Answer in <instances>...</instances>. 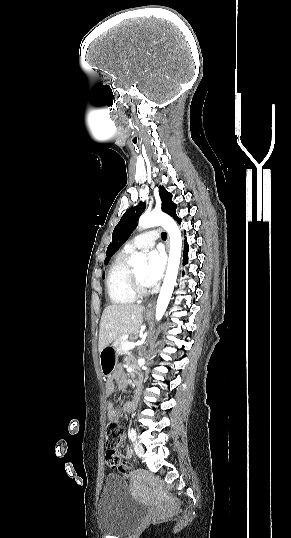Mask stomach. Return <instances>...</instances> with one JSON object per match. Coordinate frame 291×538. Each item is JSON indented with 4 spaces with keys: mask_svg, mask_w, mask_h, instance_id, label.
<instances>
[{
    "mask_svg": "<svg viewBox=\"0 0 291 538\" xmlns=\"http://www.w3.org/2000/svg\"><path fill=\"white\" fill-rule=\"evenodd\" d=\"M148 317V315H146ZM100 357V369L104 377L110 376L117 366L118 354L115 348L107 346L99 352Z\"/></svg>",
    "mask_w": 291,
    "mask_h": 538,
    "instance_id": "obj_1",
    "label": "stomach"
}]
</instances>
